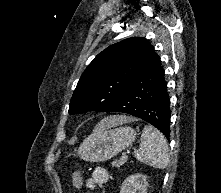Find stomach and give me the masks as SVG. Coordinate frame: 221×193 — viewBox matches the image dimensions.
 <instances>
[{"instance_id":"stomach-1","label":"stomach","mask_w":221,"mask_h":193,"mask_svg":"<svg viewBox=\"0 0 221 193\" xmlns=\"http://www.w3.org/2000/svg\"><path fill=\"white\" fill-rule=\"evenodd\" d=\"M136 135L135 130L129 126L112 129L97 126L79 146L77 153L88 162L106 161L128 148Z\"/></svg>"}]
</instances>
